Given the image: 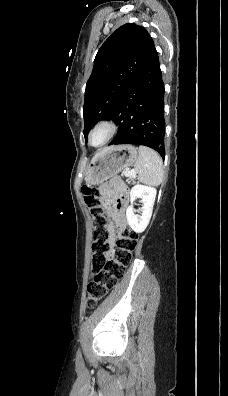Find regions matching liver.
<instances>
[{"label": "liver", "mask_w": 228, "mask_h": 396, "mask_svg": "<svg viewBox=\"0 0 228 396\" xmlns=\"http://www.w3.org/2000/svg\"><path fill=\"white\" fill-rule=\"evenodd\" d=\"M110 148H111V147L106 148V149L102 150L101 152H99L98 154H96V155L94 156V158L92 159V161L95 160L99 155H101L103 152L107 151V150L110 149ZM92 161H91V162H92Z\"/></svg>", "instance_id": "6515ba94"}]
</instances>
